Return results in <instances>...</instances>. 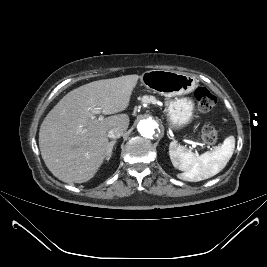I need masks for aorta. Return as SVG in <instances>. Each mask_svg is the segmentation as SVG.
<instances>
[{"mask_svg": "<svg viewBox=\"0 0 267 267\" xmlns=\"http://www.w3.org/2000/svg\"><path fill=\"white\" fill-rule=\"evenodd\" d=\"M137 128L143 137L153 138L157 132L158 124L154 120L147 118L140 120Z\"/></svg>", "mask_w": 267, "mask_h": 267, "instance_id": "762f6f07", "label": "aorta"}]
</instances>
